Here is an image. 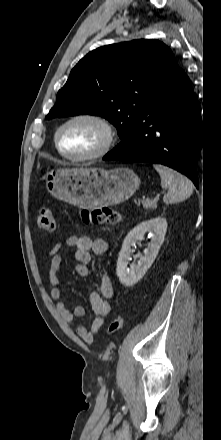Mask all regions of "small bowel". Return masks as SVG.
<instances>
[{
	"mask_svg": "<svg viewBox=\"0 0 221 440\" xmlns=\"http://www.w3.org/2000/svg\"><path fill=\"white\" fill-rule=\"evenodd\" d=\"M75 247V271L79 276L86 277L89 275V264L91 261V253L102 255L107 251V243L102 239H91L87 236H70L63 241L57 243L49 252L50 265L48 269V279L51 284L50 296L53 300H57L56 311L66 322H72L75 318L83 317L85 310L80 305L69 307L61 298L62 290L58 272L62 264V257L59 250L63 247ZM113 295V287L110 278L103 275L100 283V294L92 292L90 294V305L94 314V319L90 328L80 326L77 328V334L86 343H93L96 334L104 324L106 316L111 311L109 299Z\"/></svg>",
	"mask_w": 221,
	"mask_h": 440,
	"instance_id": "c3829d8e",
	"label": "small bowel"
}]
</instances>
